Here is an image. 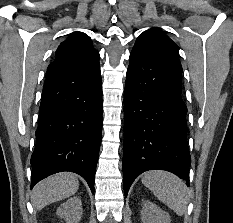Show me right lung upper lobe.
I'll return each instance as SVG.
<instances>
[{
    "label": "right lung upper lobe",
    "mask_w": 233,
    "mask_h": 223,
    "mask_svg": "<svg viewBox=\"0 0 233 223\" xmlns=\"http://www.w3.org/2000/svg\"><path fill=\"white\" fill-rule=\"evenodd\" d=\"M99 52L88 35L73 32L56 50L55 60L48 66L46 77L90 68L99 63Z\"/></svg>",
    "instance_id": "right-lung-upper-lobe-1"
}]
</instances>
